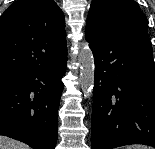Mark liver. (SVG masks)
Here are the masks:
<instances>
[{"label":"liver","mask_w":155,"mask_h":149,"mask_svg":"<svg viewBox=\"0 0 155 149\" xmlns=\"http://www.w3.org/2000/svg\"><path fill=\"white\" fill-rule=\"evenodd\" d=\"M0 149H30L28 145L14 139L0 136Z\"/></svg>","instance_id":"liver-1"}]
</instances>
